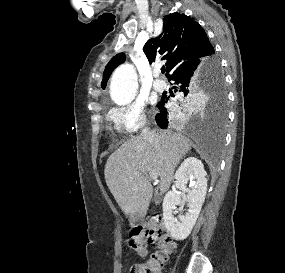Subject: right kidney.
Instances as JSON below:
<instances>
[{
    "mask_svg": "<svg viewBox=\"0 0 285 273\" xmlns=\"http://www.w3.org/2000/svg\"><path fill=\"white\" fill-rule=\"evenodd\" d=\"M207 173L200 160L195 157L186 158L175 173V188L169 191L163 200V220L166 229L175 240H184L191 233L201 211L207 192ZM189 179H193L192 187L186 196L187 211L174 217L176 206L180 205L181 191L186 190Z\"/></svg>",
    "mask_w": 285,
    "mask_h": 273,
    "instance_id": "obj_1",
    "label": "right kidney"
}]
</instances>
